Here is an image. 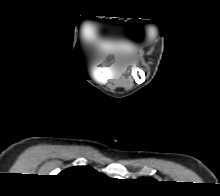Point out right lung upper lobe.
<instances>
[{
	"label": "right lung upper lobe",
	"mask_w": 220,
	"mask_h": 196,
	"mask_svg": "<svg viewBox=\"0 0 220 196\" xmlns=\"http://www.w3.org/2000/svg\"><path fill=\"white\" fill-rule=\"evenodd\" d=\"M58 176L72 178L78 181H92L107 178L89 166H75L62 171Z\"/></svg>",
	"instance_id": "right-lung-upper-lobe-1"
}]
</instances>
